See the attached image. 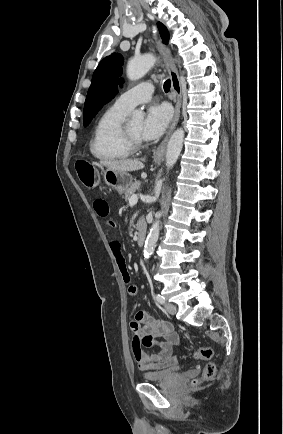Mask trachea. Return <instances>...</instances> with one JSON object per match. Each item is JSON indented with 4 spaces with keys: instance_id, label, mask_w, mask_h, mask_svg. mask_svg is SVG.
Instances as JSON below:
<instances>
[{
    "instance_id": "trachea-1",
    "label": "trachea",
    "mask_w": 283,
    "mask_h": 434,
    "mask_svg": "<svg viewBox=\"0 0 283 434\" xmlns=\"http://www.w3.org/2000/svg\"><path fill=\"white\" fill-rule=\"evenodd\" d=\"M170 86H171V81H170V79H168L164 82V85H163L164 91L166 93L169 92Z\"/></svg>"
}]
</instances>
